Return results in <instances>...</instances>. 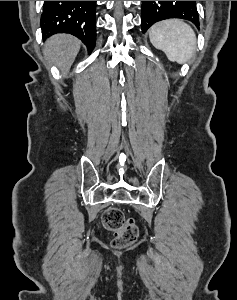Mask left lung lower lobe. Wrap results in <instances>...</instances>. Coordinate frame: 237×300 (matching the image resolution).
Wrapping results in <instances>:
<instances>
[{"instance_id": "0a47b994", "label": "left lung lower lobe", "mask_w": 237, "mask_h": 300, "mask_svg": "<svg viewBox=\"0 0 237 300\" xmlns=\"http://www.w3.org/2000/svg\"><path fill=\"white\" fill-rule=\"evenodd\" d=\"M171 2L182 8L191 9L197 13L196 5H195L194 1H171ZM197 15H198V13H197Z\"/></svg>"}]
</instances>
